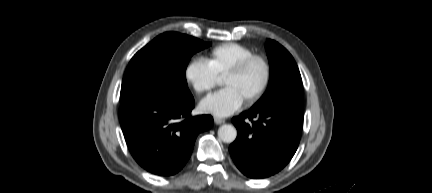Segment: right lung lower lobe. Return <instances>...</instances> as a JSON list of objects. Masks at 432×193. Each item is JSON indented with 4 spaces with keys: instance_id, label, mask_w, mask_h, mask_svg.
<instances>
[{
    "instance_id": "98d812e1",
    "label": "right lung lower lobe",
    "mask_w": 432,
    "mask_h": 193,
    "mask_svg": "<svg viewBox=\"0 0 432 193\" xmlns=\"http://www.w3.org/2000/svg\"><path fill=\"white\" fill-rule=\"evenodd\" d=\"M193 96L175 101L139 96L119 107V120L127 147L148 172L172 176L188 162L199 133L210 129V115L193 116Z\"/></svg>"
}]
</instances>
